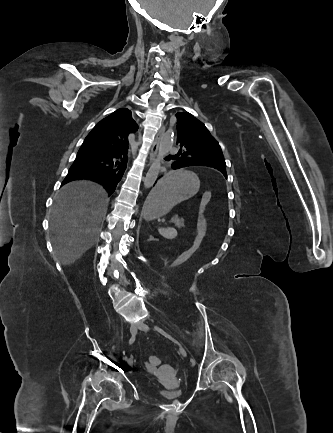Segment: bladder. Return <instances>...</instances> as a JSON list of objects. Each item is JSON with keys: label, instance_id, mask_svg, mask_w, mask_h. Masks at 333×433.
<instances>
[{"label": "bladder", "instance_id": "31cf9c89", "mask_svg": "<svg viewBox=\"0 0 333 433\" xmlns=\"http://www.w3.org/2000/svg\"><path fill=\"white\" fill-rule=\"evenodd\" d=\"M158 394L164 400L173 401L182 398L184 392L181 389H161Z\"/></svg>", "mask_w": 333, "mask_h": 433}]
</instances>
